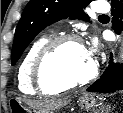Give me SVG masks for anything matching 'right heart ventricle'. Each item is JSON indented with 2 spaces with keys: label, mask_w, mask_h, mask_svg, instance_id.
<instances>
[{
  "label": "right heart ventricle",
  "mask_w": 123,
  "mask_h": 113,
  "mask_svg": "<svg viewBox=\"0 0 123 113\" xmlns=\"http://www.w3.org/2000/svg\"><path fill=\"white\" fill-rule=\"evenodd\" d=\"M52 38V34H46L37 39L26 52L17 73L19 89L32 94L52 95L59 90H43L36 86L32 76V67L35 57L40 49Z\"/></svg>",
  "instance_id": "e07e8e85"
}]
</instances>
